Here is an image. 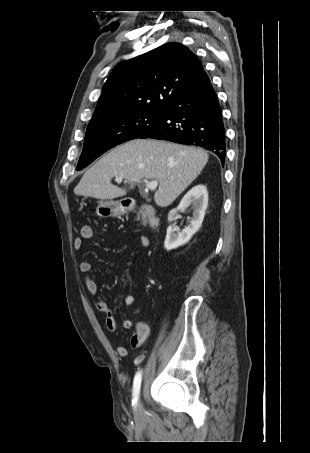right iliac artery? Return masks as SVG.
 Instances as JSON below:
<instances>
[{
    "label": "right iliac artery",
    "instance_id": "right-iliac-artery-1",
    "mask_svg": "<svg viewBox=\"0 0 310 453\" xmlns=\"http://www.w3.org/2000/svg\"><path fill=\"white\" fill-rule=\"evenodd\" d=\"M141 379H142V372L139 371L136 373V375L134 377L132 405H136V403H137L139 393H140Z\"/></svg>",
    "mask_w": 310,
    "mask_h": 453
}]
</instances>
